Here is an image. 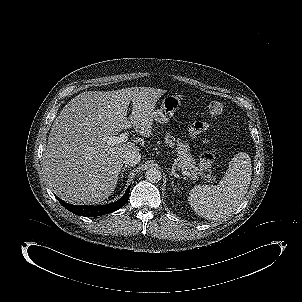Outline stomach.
<instances>
[{"mask_svg":"<svg viewBox=\"0 0 302 302\" xmlns=\"http://www.w3.org/2000/svg\"><path fill=\"white\" fill-rule=\"evenodd\" d=\"M180 106V98L168 94L162 99L160 108L153 112V119L158 123H167Z\"/></svg>","mask_w":302,"mask_h":302,"instance_id":"obj_1","label":"stomach"}]
</instances>
